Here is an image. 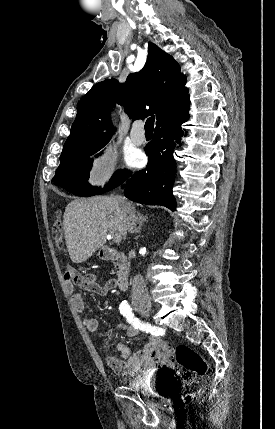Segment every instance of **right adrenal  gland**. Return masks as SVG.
<instances>
[{"instance_id":"obj_1","label":"right adrenal gland","mask_w":275,"mask_h":429,"mask_svg":"<svg viewBox=\"0 0 275 429\" xmlns=\"http://www.w3.org/2000/svg\"><path fill=\"white\" fill-rule=\"evenodd\" d=\"M147 218H148L147 215L144 216L142 213L138 212V222H139V225H138V227L135 230V232L138 234V236H140L143 223L147 221Z\"/></svg>"}]
</instances>
